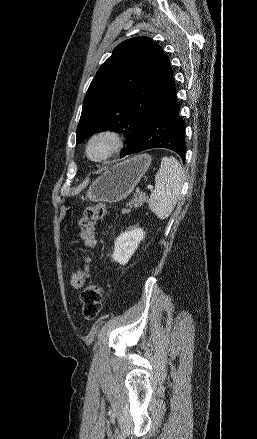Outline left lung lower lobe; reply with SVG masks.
Here are the masks:
<instances>
[{
    "instance_id": "obj_1",
    "label": "left lung lower lobe",
    "mask_w": 257,
    "mask_h": 439,
    "mask_svg": "<svg viewBox=\"0 0 257 439\" xmlns=\"http://www.w3.org/2000/svg\"><path fill=\"white\" fill-rule=\"evenodd\" d=\"M176 95L172 79L144 116L139 127L137 144L126 155L151 148H167L175 151L185 161L186 124L178 115Z\"/></svg>"
}]
</instances>
